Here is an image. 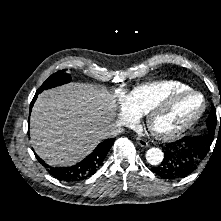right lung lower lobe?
I'll return each instance as SVG.
<instances>
[{
  "instance_id": "98d812e1",
  "label": "right lung lower lobe",
  "mask_w": 221,
  "mask_h": 221,
  "mask_svg": "<svg viewBox=\"0 0 221 221\" xmlns=\"http://www.w3.org/2000/svg\"><path fill=\"white\" fill-rule=\"evenodd\" d=\"M40 92H36L31 104H30V112L32 109V106L37 99V95ZM114 139H107L103 142H101L95 150L88 155L84 160L79 162L78 164L71 166V167H52L40 159L37 155L38 161L47 169V171L55 178L61 181L66 182H77L84 180L91 175H93L99 166L104 161L106 155L108 154L109 150L111 149L113 145Z\"/></svg>"
}]
</instances>
